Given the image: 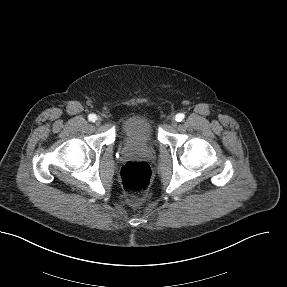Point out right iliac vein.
Here are the masks:
<instances>
[{
    "instance_id": "right-iliac-vein-1",
    "label": "right iliac vein",
    "mask_w": 287,
    "mask_h": 287,
    "mask_svg": "<svg viewBox=\"0 0 287 287\" xmlns=\"http://www.w3.org/2000/svg\"><path fill=\"white\" fill-rule=\"evenodd\" d=\"M101 123V118L96 119V124L99 125Z\"/></svg>"
}]
</instances>
